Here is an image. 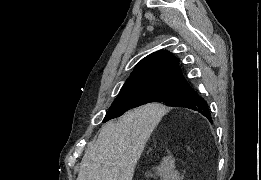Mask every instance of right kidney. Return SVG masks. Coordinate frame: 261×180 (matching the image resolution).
<instances>
[{
	"label": "right kidney",
	"instance_id": "1",
	"mask_svg": "<svg viewBox=\"0 0 261 180\" xmlns=\"http://www.w3.org/2000/svg\"><path fill=\"white\" fill-rule=\"evenodd\" d=\"M157 174L163 178V180H179L178 172L175 170L174 158H163L161 166L157 168Z\"/></svg>",
	"mask_w": 261,
	"mask_h": 180
}]
</instances>
